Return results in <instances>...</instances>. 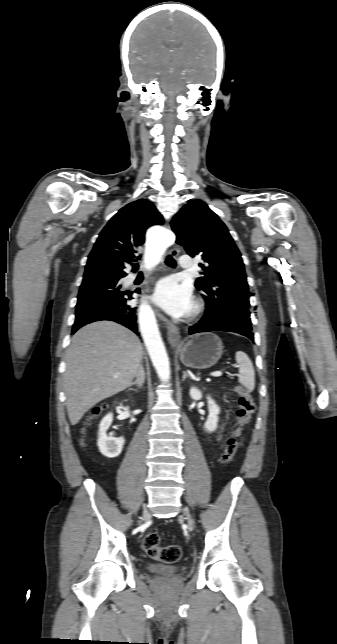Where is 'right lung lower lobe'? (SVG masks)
I'll list each match as a JSON object with an SVG mask.
<instances>
[{
    "mask_svg": "<svg viewBox=\"0 0 337 644\" xmlns=\"http://www.w3.org/2000/svg\"><path fill=\"white\" fill-rule=\"evenodd\" d=\"M139 293V290L127 291L116 299L95 303L76 308L75 323L72 333H75L82 326L100 320L115 321L129 328L139 335L137 327L136 307H132L129 301L133 299L132 294Z\"/></svg>",
    "mask_w": 337,
    "mask_h": 644,
    "instance_id": "right-lung-lower-lobe-1",
    "label": "right lung lower lobe"
}]
</instances>
